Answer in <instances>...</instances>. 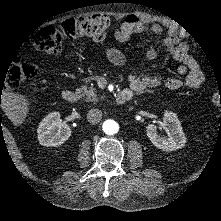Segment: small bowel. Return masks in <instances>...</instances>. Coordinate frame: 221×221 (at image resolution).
Listing matches in <instances>:
<instances>
[{
  "label": "small bowel",
  "instance_id": "obj_1",
  "mask_svg": "<svg viewBox=\"0 0 221 221\" xmlns=\"http://www.w3.org/2000/svg\"><path fill=\"white\" fill-rule=\"evenodd\" d=\"M122 16H117L120 21ZM134 22H124L114 31V37L119 42H126L134 33L152 32L160 34L163 31V25L155 18L146 13H137ZM163 50L167 52L175 61L179 63L177 73L181 77H169L161 79L160 77L141 73L139 70L130 72L127 76L130 89L126 91L131 95H140L147 88H154L164 85L169 90H178L186 87L198 89L203 83L204 76L196 60L189 53V46L185 42H179L178 37L173 31H170L161 41ZM104 54L108 60L116 65L123 66L126 63L125 55L113 47L104 48ZM157 58L156 45L148 44L143 59L145 62H152Z\"/></svg>",
  "mask_w": 221,
  "mask_h": 221
}]
</instances>
